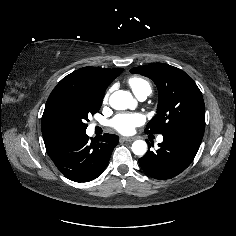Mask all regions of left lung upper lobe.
Wrapping results in <instances>:
<instances>
[{
    "label": "left lung upper lobe",
    "mask_w": 236,
    "mask_h": 236,
    "mask_svg": "<svg viewBox=\"0 0 236 236\" xmlns=\"http://www.w3.org/2000/svg\"><path fill=\"white\" fill-rule=\"evenodd\" d=\"M130 72L152 79L158 88L157 114L147 124L146 133L163 135L177 129L205 128V105L201 91L184 71L156 63L132 68Z\"/></svg>",
    "instance_id": "left-lung-upper-lobe-1"
}]
</instances>
